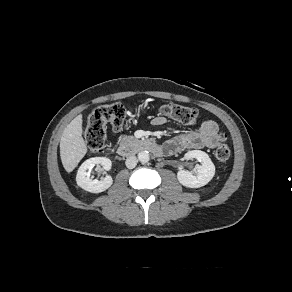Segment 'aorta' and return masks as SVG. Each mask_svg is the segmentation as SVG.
<instances>
[{
  "mask_svg": "<svg viewBox=\"0 0 292 292\" xmlns=\"http://www.w3.org/2000/svg\"><path fill=\"white\" fill-rule=\"evenodd\" d=\"M150 159V155H149V152L144 150V151H140L138 153V160L141 162V163H147Z\"/></svg>",
  "mask_w": 292,
  "mask_h": 292,
  "instance_id": "762f6f07",
  "label": "aorta"
}]
</instances>
